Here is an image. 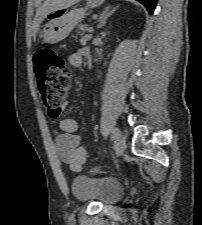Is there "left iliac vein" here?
<instances>
[{"instance_id":"obj_1","label":"left iliac vein","mask_w":202,"mask_h":225,"mask_svg":"<svg viewBox=\"0 0 202 225\" xmlns=\"http://www.w3.org/2000/svg\"><path fill=\"white\" fill-rule=\"evenodd\" d=\"M126 148V141L125 138L118 135V140H117V147H116V155L120 156L124 153Z\"/></svg>"}]
</instances>
